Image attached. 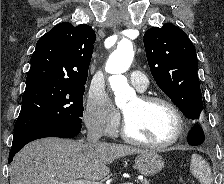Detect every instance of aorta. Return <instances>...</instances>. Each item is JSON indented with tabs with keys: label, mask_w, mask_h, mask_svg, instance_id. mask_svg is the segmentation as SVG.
<instances>
[{
	"label": "aorta",
	"mask_w": 224,
	"mask_h": 184,
	"mask_svg": "<svg viewBox=\"0 0 224 184\" xmlns=\"http://www.w3.org/2000/svg\"><path fill=\"white\" fill-rule=\"evenodd\" d=\"M134 57L132 42L128 39L121 40L117 49L109 56L106 71L112 74L109 82L115 93V102L118 106L135 96L134 90L129 86L127 78L123 75L131 66Z\"/></svg>",
	"instance_id": "aorta-1"
}]
</instances>
